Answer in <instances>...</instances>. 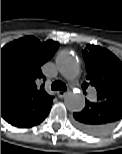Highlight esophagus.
<instances>
[{"label": "esophagus", "mask_w": 122, "mask_h": 154, "mask_svg": "<svg viewBox=\"0 0 122 154\" xmlns=\"http://www.w3.org/2000/svg\"><path fill=\"white\" fill-rule=\"evenodd\" d=\"M67 94V92H65V91H57V96L59 97V98H63V97H65V95Z\"/></svg>", "instance_id": "obj_1"}]
</instances>
